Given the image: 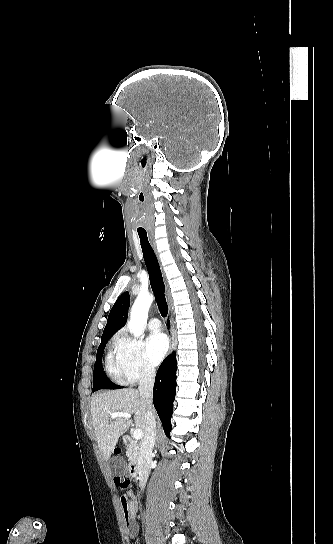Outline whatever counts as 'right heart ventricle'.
Segmentation results:
<instances>
[{
  "mask_svg": "<svg viewBox=\"0 0 333 544\" xmlns=\"http://www.w3.org/2000/svg\"><path fill=\"white\" fill-rule=\"evenodd\" d=\"M106 369L109 375L117 381H123L120 375L116 356L110 351L106 358Z\"/></svg>",
  "mask_w": 333,
  "mask_h": 544,
  "instance_id": "right-heart-ventricle-1",
  "label": "right heart ventricle"
}]
</instances>
